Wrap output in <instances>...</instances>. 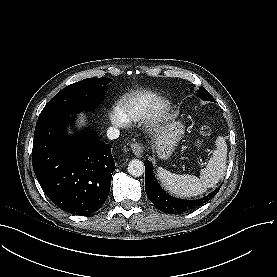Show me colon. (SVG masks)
I'll use <instances>...</instances> for the list:
<instances>
[{
	"label": "colon",
	"instance_id": "obj_1",
	"mask_svg": "<svg viewBox=\"0 0 277 277\" xmlns=\"http://www.w3.org/2000/svg\"><path fill=\"white\" fill-rule=\"evenodd\" d=\"M211 132H212V129H211L210 126H203L202 129H201V135L203 137L209 136L211 134ZM196 142H197L198 145L202 144L203 138H198Z\"/></svg>",
	"mask_w": 277,
	"mask_h": 277
}]
</instances>
